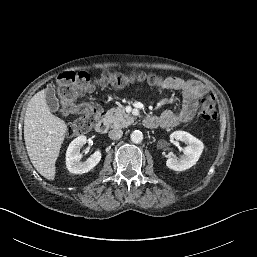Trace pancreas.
I'll use <instances>...</instances> for the list:
<instances>
[{"label":"pancreas","instance_id":"pancreas-1","mask_svg":"<svg viewBox=\"0 0 257 257\" xmlns=\"http://www.w3.org/2000/svg\"><path fill=\"white\" fill-rule=\"evenodd\" d=\"M105 121L112 128H124L132 124L134 118L125 112L124 107L118 106L107 111Z\"/></svg>","mask_w":257,"mask_h":257}]
</instances>
